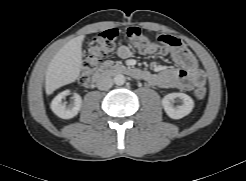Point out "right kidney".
I'll use <instances>...</instances> for the list:
<instances>
[{
  "label": "right kidney",
  "instance_id": "1",
  "mask_svg": "<svg viewBox=\"0 0 246 181\" xmlns=\"http://www.w3.org/2000/svg\"><path fill=\"white\" fill-rule=\"evenodd\" d=\"M69 94V91H63L58 94L51 102V110L56 114L58 117L62 119H71L75 117L82 104V99L78 94L74 95V102L72 105L66 106L65 103H62V99Z\"/></svg>",
  "mask_w": 246,
  "mask_h": 181
}]
</instances>
